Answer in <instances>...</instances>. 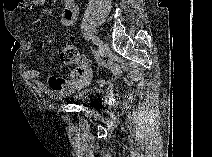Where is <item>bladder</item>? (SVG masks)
I'll use <instances>...</instances> for the list:
<instances>
[{
  "label": "bladder",
  "mask_w": 212,
  "mask_h": 157,
  "mask_svg": "<svg viewBox=\"0 0 212 157\" xmlns=\"http://www.w3.org/2000/svg\"><path fill=\"white\" fill-rule=\"evenodd\" d=\"M101 96V91H99L98 89L95 88H89L86 90H83L82 92L76 94L74 96V98H76L79 101L82 102H92L95 99H97L98 97Z\"/></svg>",
  "instance_id": "bladder-1"
}]
</instances>
